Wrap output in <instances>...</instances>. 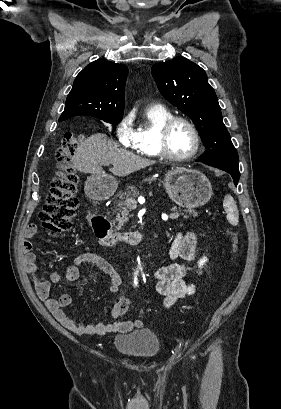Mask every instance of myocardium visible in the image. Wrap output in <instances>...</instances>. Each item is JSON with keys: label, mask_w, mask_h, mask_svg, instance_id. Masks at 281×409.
<instances>
[{"label": "myocardium", "mask_w": 281, "mask_h": 409, "mask_svg": "<svg viewBox=\"0 0 281 409\" xmlns=\"http://www.w3.org/2000/svg\"><path fill=\"white\" fill-rule=\"evenodd\" d=\"M177 123L185 124L191 131L194 137V148L193 150L184 156L174 155L168 147V137L171 129ZM201 145V139L196 126L188 118L184 116H172L166 120L162 126L159 128L156 137V146L161 156L175 162H183L193 158L199 151Z\"/></svg>", "instance_id": "obj_1"}]
</instances>
